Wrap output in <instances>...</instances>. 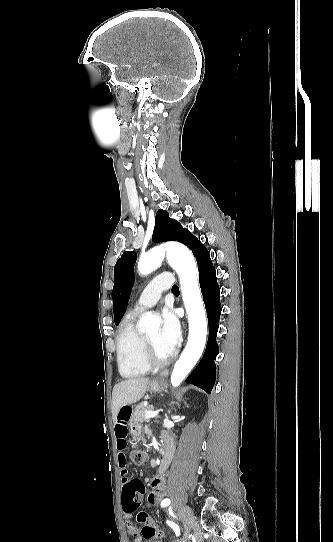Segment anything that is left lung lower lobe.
<instances>
[{"label":"left lung lower lobe","mask_w":333,"mask_h":542,"mask_svg":"<svg viewBox=\"0 0 333 542\" xmlns=\"http://www.w3.org/2000/svg\"><path fill=\"white\" fill-rule=\"evenodd\" d=\"M194 256L198 264L200 287L208 317L209 337L200 363L188 376L186 382L198 386L207 393H211L216 378L214 360L219 353L216 335L221 314L220 288L217 283L216 271L211 262L210 254L203 244Z\"/></svg>","instance_id":"left-lung-lower-lobe-1"}]
</instances>
